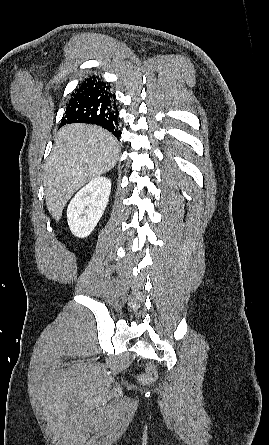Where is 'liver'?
Returning a JSON list of instances; mask_svg holds the SVG:
<instances>
[{
	"instance_id": "6515ba94",
	"label": "liver",
	"mask_w": 269,
	"mask_h": 445,
	"mask_svg": "<svg viewBox=\"0 0 269 445\" xmlns=\"http://www.w3.org/2000/svg\"><path fill=\"white\" fill-rule=\"evenodd\" d=\"M117 140L101 127L71 124L62 127L44 169L46 206L59 221L73 194L117 163Z\"/></svg>"
}]
</instances>
